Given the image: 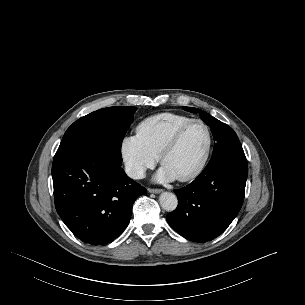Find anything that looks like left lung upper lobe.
Returning a JSON list of instances; mask_svg holds the SVG:
<instances>
[{"mask_svg": "<svg viewBox=\"0 0 305 305\" xmlns=\"http://www.w3.org/2000/svg\"><path fill=\"white\" fill-rule=\"evenodd\" d=\"M183 109L193 113H200L201 119L211 128L215 146L209 163H212L229 153L243 151L236 133L227 124L197 108L183 107Z\"/></svg>", "mask_w": 305, "mask_h": 305, "instance_id": "left-lung-upper-lobe-1", "label": "left lung upper lobe"}]
</instances>
